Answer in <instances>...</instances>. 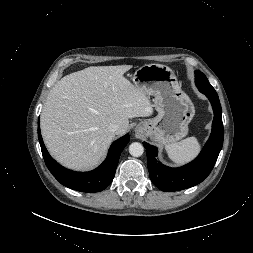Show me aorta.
<instances>
[{
	"label": "aorta",
	"mask_w": 253,
	"mask_h": 253,
	"mask_svg": "<svg viewBox=\"0 0 253 253\" xmlns=\"http://www.w3.org/2000/svg\"><path fill=\"white\" fill-rule=\"evenodd\" d=\"M144 152V147L141 143L133 142L129 146V153L134 157H140Z\"/></svg>",
	"instance_id": "obj_1"
}]
</instances>
